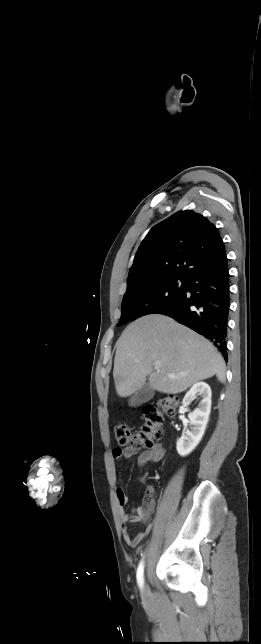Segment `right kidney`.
Returning <instances> with one entry per match:
<instances>
[{"instance_id": "obj_1", "label": "right kidney", "mask_w": 261, "mask_h": 644, "mask_svg": "<svg viewBox=\"0 0 261 644\" xmlns=\"http://www.w3.org/2000/svg\"><path fill=\"white\" fill-rule=\"evenodd\" d=\"M200 395L202 400L199 407L189 414L190 430L184 429L181 438L177 441V452L180 456H187L201 441L211 411V388L205 382L194 384L186 393L183 399V407H187L191 401Z\"/></svg>"}]
</instances>
